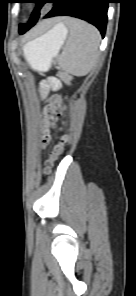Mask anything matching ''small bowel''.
Listing matches in <instances>:
<instances>
[{"instance_id":"1","label":"small bowel","mask_w":136,"mask_h":296,"mask_svg":"<svg viewBox=\"0 0 136 296\" xmlns=\"http://www.w3.org/2000/svg\"><path fill=\"white\" fill-rule=\"evenodd\" d=\"M50 84H51L53 87H57V86H58V82L55 81V80L50 81ZM44 85H45V84H44Z\"/></svg>"}]
</instances>
